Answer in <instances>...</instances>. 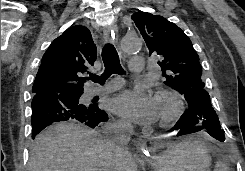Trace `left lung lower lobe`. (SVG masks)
<instances>
[{"label": "left lung lower lobe", "mask_w": 245, "mask_h": 171, "mask_svg": "<svg viewBox=\"0 0 245 171\" xmlns=\"http://www.w3.org/2000/svg\"><path fill=\"white\" fill-rule=\"evenodd\" d=\"M183 95L188 103V109L170 131H177V136H181L206 129L210 136L223 142L224 131L220 127L208 92L204 88H190Z\"/></svg>", "instance_id": "left-lung-lower-lobe-1"}]
</instances>
